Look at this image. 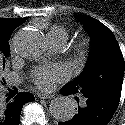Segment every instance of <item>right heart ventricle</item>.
<instances>
[{
    "instance_id": "obj_1",
    "label": "right heart ventricle",
    "mask_w": 125,
    "mask_h": 125,
    "mask_svg": "<svg viewBox=\"0 0 125 125\" xmlns=\"http://www.w3.org/2000/svg\"><path fill=\"white\" fill-rule=\"evenodd\" d=\"M48 39L50 38H59L62 40H66L68 37V30L61 25H53L50 27L48 33H47Z\"/></svg>"
}]
</instances>
